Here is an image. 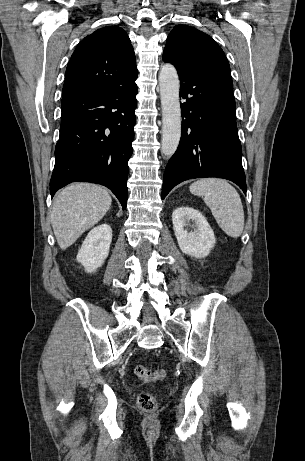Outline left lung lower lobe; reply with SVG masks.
I'll list each match as a JSON object with an SVG mask.
<instances>
[{
    "mask_svg": "<svg viewBox=\"0 0 305 461\" xmlns=\"http://www.w3.org/2000/svg\"><path fill=\"white\" fill-rule=\"evenodd\" d=\"M178 75L185 99L181 140L164 172L162 199L177 184L198 177L232 180L246 194L231 74Z\"/></svg>",
    "mask_w": 305,
    "mask_h": 461,
    "instance_id": "1",
    "label": "left lung lower lobe"
}]
</instances>
